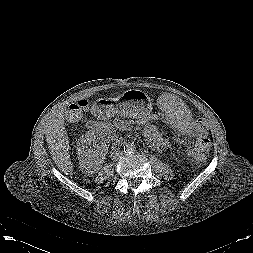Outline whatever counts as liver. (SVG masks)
I'll return each instance as SVG.
<instances>
[{
    "label": "liver",
    "instance_id": "liver-1",
    "mask_svg": "<svg viewBox=\"0 0 253 253\" xmlns=\"http://www.w3.org/2000/svg\"><path fill=\"white\" fill-rule=\"evenodd\" d=\"M92 95L93 93H86L84 95L74 97L72 100L76 102L78 100L89 98ZM63 110V107H59L52 113L46 125L45 134L54 163L60 171L66 175H71L73 172V164L68 152L69 141L68 134L64 126Z\"/></svg>",
    "mask_w": 253,
    "mask_h": 253
}]
</instances>
